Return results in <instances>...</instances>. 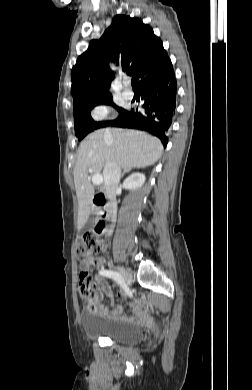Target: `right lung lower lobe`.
Segmentation results:
<instances>
[{"mask_svg": "<svg viewBox=\"0 0 252 390\" xmlns=\"http://www.w3.org/2000/svg\"><path fill=\"white\" fill-rule=\"evenodd\" d=\"M139 92L144 100L143 112L131 109L125 111L107 126L140 129L159 137L166 147V133L172 123L176 108L177 82L172 69L148 77L139 85Z\"/></svg>", "mask_w": 252, "mask_h": 390, "instance_id": "98d812e1", "label": "right lung lower lobe"}]
</instances>
